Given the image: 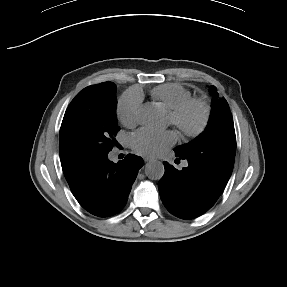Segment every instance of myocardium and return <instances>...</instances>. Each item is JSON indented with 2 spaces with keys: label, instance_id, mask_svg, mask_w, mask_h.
Instances as JSON below:
<instances>
[{
  "label": "myocardium",
  "instance_id": "myocardium-1",
  "mask_svg": "<svg viewBox=\"0 0 287 287\" xmlns=\"http://www.w3.org/2000/svg\"><path fill=\"white\" fill-rule=\"evenodd\" d=\"M192 110L199 113V121L194 127H187L183 123V118ZM209 118L210 108L201 98H190L169 115L170 124L176 127L184 138H196L201 135L209 123Z\"/></svg>",
  "mask_w": 287,
  "mask_h": 287
}]
</instances>
